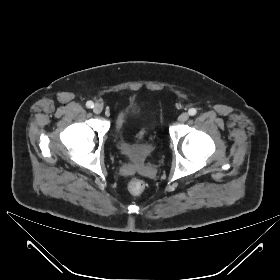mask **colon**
<instances>
[{
  "label": "colon",
  "mask_w": 280,
  "mask_h": 280,
  "mask_svg": "<svg viewBox=\"0 0 280 280\" xmlns=\"http://www.w3.org/2000/svg\"><path fill=\"white\" fill-rule=\"evenodd\" d=\"M145 188V182L138 178L131 179L128 183L129 192L135 196L141 195L145 191Z\"/></svg>",
  "instance_id": "5ec220e1"
}]
</instances>
